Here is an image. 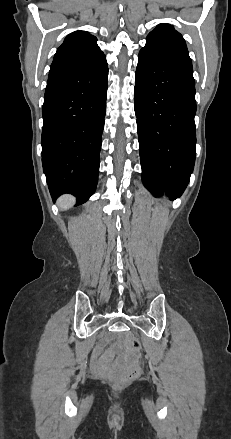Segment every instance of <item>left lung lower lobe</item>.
I'll use <instances>...</instances> for the list:
<instances>
[{
    "label": "left lung lower lobe",
    "instance_id": "0a47b994",
    "mask_svg": "<svg viewBox=\"0 0 231 439\" xmlns=\"http://www.w3.org/2000/svg\"><path fill=\"white\" fill-rule=\"evenodd\" d=\"M134 108L142 181L155 195L179 197L195 163V81L192 64L145 50L138 56Z\"/></svg>",
    "mask_w": 231,
    "mask_h": 439
}]
</instances>
